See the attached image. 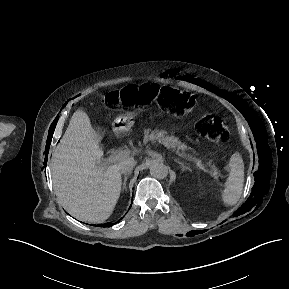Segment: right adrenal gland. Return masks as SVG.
I'll use <instances>...</instances> for the list:
<instances>
[{
  "instance_id": "2a0ac1e0",
  "label": "right adrenal gland",
  "mask_w": 289,
  "mask_h": 289,
  "mask_svg": "<svg viewBox=\"0 0 289 289\" xmlns=\"http://www.w3.org/2000/svg\"><path fill=\"white\" fill-rule=\"evenodd\" d=\"M130 174H131V173H128V174H125V175H124L122 190H126V189H127V187H126V182H127L128 176H129Z\"/></svg>"
}]
</instances>
